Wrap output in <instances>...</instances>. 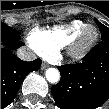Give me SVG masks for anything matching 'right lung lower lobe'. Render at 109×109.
Here are the masks:
<instances>
[{"instance_id":"right-lung-lower-lobe-1","label":"right lung lower lobe","mask_w":109,"mask_h":109,"mask_svg":"<svg viewBox=\"0 0 109 109\" xmlns=\"http://www.w3.org/2000/svg\"><path fill=\"white\" fill-rule=\"evenodd\" d=\"M1 109L8 106L15 98L24 78L32 71L38 70L41 60L22 61L13 51L23 42L1 34Z\"/></svg>"}]
</instances>
